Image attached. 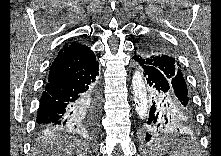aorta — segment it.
<instances>
[{"label":"aorta","instance_id":"762f6f07","mask_svg":"<svg viewBox=\"0 0 221 156\" xmlns=\"http://www.w3.org/2000/svg\"><path fill=\"white\" fill-rule=\"evenodd\" d=\"M133 93L134 101L136 105V110L139 112L140 116L143 118V96L145 93V85L142 80L140 72H135L133 76Z\"/></svg>","mask_w":221,"mask_h":156}]
</instances>
